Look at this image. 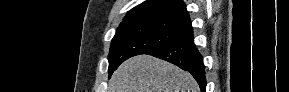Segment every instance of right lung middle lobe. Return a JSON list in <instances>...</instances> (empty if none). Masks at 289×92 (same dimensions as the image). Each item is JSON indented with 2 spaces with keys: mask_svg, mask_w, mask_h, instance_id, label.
I'll use <instances>...</instances> for the list:
<instances>
[{
  "mask_svg": "<svg viewBox=\"0 0 289 92\" xmlns=\"http://www.w3.org/2000/svg\"><path fill=\"white\" fill-rule=\"evenodd\" d=\"M190 29V26L152 19L123 21L111 42L109 76L126 59L175 42L186 36Z\"/></svg>",
  "mask_w": 289,
  "mask_h": 92,
  "instance_id": "1",
  "label": "right lung middle lobe"
}]
</instances>
